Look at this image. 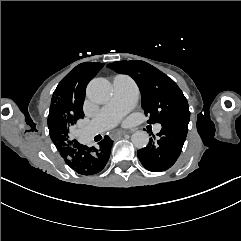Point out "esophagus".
I'll return each instance as SVG.
<instances>
[{
    "label": "esophagus",
    "mask_w": 241,
    "mask_h": 241,
    "mask_svg": "<svg viewBox=\"0 0 241 241\" xmlns=\"http://www.w3.org/2000/svg\"><path fill=\"white\" fill-rule=\"evenodd\" d=\"M125 134H126L125 131H117V132L111 133L110 137L115 139V138H118V137L123 136Z\"/></svg>",
    "instance_id": "esophagus-1"
}]
</instances>
